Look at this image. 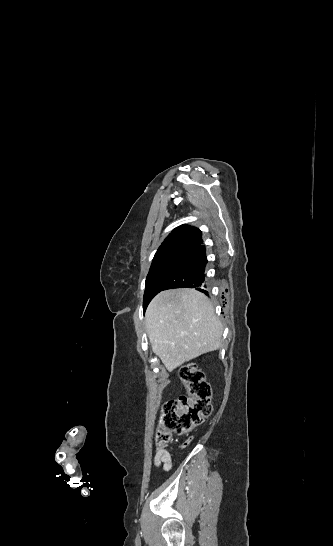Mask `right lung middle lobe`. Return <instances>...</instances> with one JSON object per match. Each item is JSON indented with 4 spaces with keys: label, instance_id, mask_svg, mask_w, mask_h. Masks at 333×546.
I'll list each match as a JSON object with an SVG mask.
<instances>
[{
    "label": "right lung middle lobe",
    "instance_id": "1",
    "mask_svg": "<svg viewBox=\"0 0 333 546\" xmlns=\"http://www.w3.org/2000/svg\"><path fill=\"white\" fill-rule=\"evenodd\" d=\"M186 252L187 251L185 250H167L155 254L146 278L143 306L147 305L155 296V292L157 290L156 286L160 277Z\"/></svg>",
    "mask_w": 333,
    "mask_h": 546
}]
</instances>
